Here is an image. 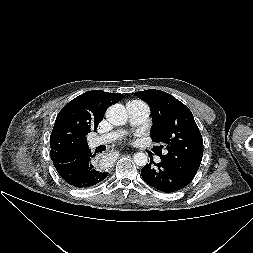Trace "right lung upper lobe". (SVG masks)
<instances>
[{
    "instance_id": "obj_1",
    "label": "right lung upper lobe",
    "mask_w": 253,
    "mask_h": 253,
    "mask_svg": "<svg viewBox=\"0 0 253 253\" xmlns=\"http://www.w3.org/2000/svg\"><path fill=\"white\" fill-rule=\"evenodd\" d=\"M122 98L120 93L93 90L65 105L59 112L51 133V160L67 162L89 151L86 135L96 131L106 109Z\"/></svg>"
}]
</instances>
